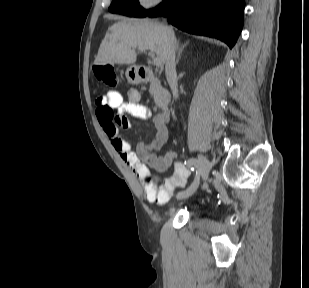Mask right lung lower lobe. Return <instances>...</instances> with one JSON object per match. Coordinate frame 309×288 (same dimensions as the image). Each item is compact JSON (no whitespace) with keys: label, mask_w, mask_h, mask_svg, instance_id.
I'll list each match as a JSON object with an SVG mask.
<instances>
[{"label":"right lung lower lobe","mask_w":309,"mask_h":288,"mask_svg":"<svg viewBox=\"0 0 309 288\" xmlns=\"http://www.w3.org/2000/svg\"><path fill=\"white\" fill-rule=\"evenodd\" d=\"M181 30L218 38L232 48L243 27L244 0H166L150 11Z\"/></svg>","instance_id":"obj_1"}]
</instances>
